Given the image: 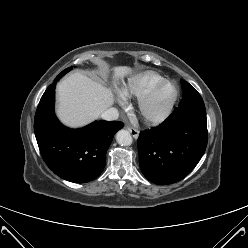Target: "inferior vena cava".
Returning <instances> with one entry per match:
<instances>
[{
    "instance_id": "1",
    "label": "inferior vena cava",
    "mask_w": 248,
    "mask_h": 248,
    "mask_svg": "<svg viewBox=\"0 0 248 248\" xmlns=\"http://www.w3.org/2000/svg\"><path fill=\"white\" fill-rule=\"evenodd\" d=\"M119 117V112L116 108H108L101 114V118L107 121L116 120Z\"/></svg>"
}]
</instances>
